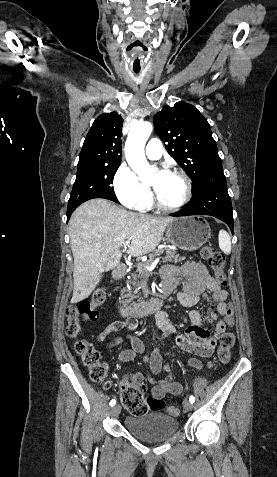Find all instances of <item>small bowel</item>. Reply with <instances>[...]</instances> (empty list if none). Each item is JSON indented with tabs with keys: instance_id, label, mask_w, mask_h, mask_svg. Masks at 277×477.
Returning a JSON list of instances; mask_svg holds the SVG:
<instances>
[{
	"instance_id": "obj_1",
	"label": "small bowel",
	"mask_w": 277,
	"mask_h": 477,
	"mask_svg": "<svg viewBox=\"0 0 277 477\" xmlns=\"http://www.w3.org/2000/svg\"><path fill=\"white\" fill-rule=\"evenodd\" d=\"M161 276L165 293L181 288L177 298L185 306L195 305L200 297L208 300L206 292L211 293V298L216 303V310L207 316L203 315L200 310H192L189 315L190 325L184 330L183 334L179 333L178 329L170 323L165 313L159 314L156 319L157 326L163 333L161 339L173 337L180 349L201 357L210 356L215 348L216 339L226 329L223 315L226 311L225 305L228 299V292L222 288V284L216 278L210 275L206 266L200 261L185 262L182 265H166L161 270ZM209 325H214V336H211L208 330ZM123 328L136 329L137 321L135 319H127L126 321L112 322L98 336V341L102 342L107 335ZM124 339L131 344V348L120 351L118 355L119 361L129 362L144 353L145 344L135 335L115 338L108 345V349L119 346ZM142 361L149 367L148 380L152 384V397L163 399L166 395H179L182 392V384L174 380L171 367L168 365L163 366L158 347L154 348L149 356H143ZM188 364L197 370H201L203 367L202 362L197 357H190ZM207 366L211 368L213 366L212 362H208ZM162 370L165 372V377L157 380L155 375ZM143 379V374L136 372L127 374L123 378L122 383L141 384Z\"/></svg>"
}]
</instances>
